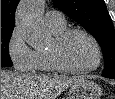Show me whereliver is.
<instances>
[{
	"label": "liver",
	"instance_id": "6515ba94",
	"mask_svg": "<svg viewBox=\"0 0 115 99\" xmlns=\"http://www.w3.org/2000/svg\"><path fill=\"white\" fill-rule=\"evenodd\" d=\"M80 77L19 74L1 70V99H56Z\"/></svg>",
	"mask_w": 115,
	"mask_h": 99
}]
</instances>
